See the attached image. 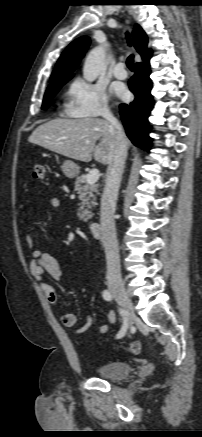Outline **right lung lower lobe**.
Masks as SVG:
<instances>
[{
  "label": "right lung lower lobe",
  "instance_id": "98d812e1",
  "mask_svg": "<svg viewBox=\"0 0 202 437\" xmlns=\"http://www.w3.org/2000/svg\"><path fill=\"white\" fill-rule=\"evenodd\" d=\"M149 60L150 58L135 64V75L129 81V88L134 93L135 100L130 104L120 105V115L127 136L135 146L145 151H150L152 142L149 137L152 128L148 122L153 108Z\"/></svg>",
  "mask_w": 202,
  "mask_h": 437
}]
</instances>
